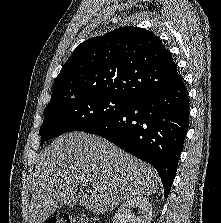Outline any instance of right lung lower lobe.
<instances>
[{"label": "right lung lower lobe", "mask_w": 221, "mask_h": 223, "mask_svg": "<svg viewBox=\"0 0 221 223\" xmlns=\"http://www.w3.org/2000/svg\"><path fill=\"white\" fill-rule=\"evenodd\" d=\"M184 83L137 97L120 114L87 133L99 135L157 170L167 198L189 121Z\"/></svg>", "instance_id": "98d812e1"}]
</instances>
